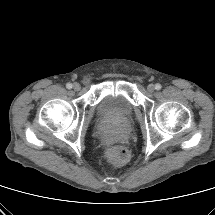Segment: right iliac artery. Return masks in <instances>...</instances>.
I'll return each mask as SVG.
<instances>
[{
  "instance_id": "obj_1",
  "label": "right iliac artery",
  "mask_w": 215,
  "mask_h": 215,
  "mask_svg": "<svg viewBox=\"0 0 215 215\" xmlns=\"http://www.w3.org/2000/svg\"><path fill=\"white\" fill-rule=\"evenodd\" d=\"M66 87H67L68 89H71V88H72V84H71V83H67V84H66Z\"/></svg>"
}]
</instances>
